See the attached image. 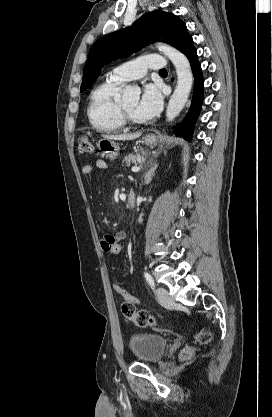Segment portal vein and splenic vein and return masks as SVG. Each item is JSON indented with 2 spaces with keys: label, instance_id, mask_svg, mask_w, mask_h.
I'll use <instances>...</instances> for the list:
<instances>
[{
  "label": "portal vein and splenic vein",
  "instance_id": "1",
  "mask_svg": "<svg viewBox=\"0 0 272 417\" xmlns=\"http://www.w3.org/2000/svg\"><path fill=\"white\" fill-rule=\"evenodd\" d=\"M133 172H139L140 171V167H132L131 169Z\"/></svg>",
  "mask_w": 272,
  "mask_h": 417
}]
</instances>
